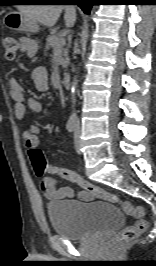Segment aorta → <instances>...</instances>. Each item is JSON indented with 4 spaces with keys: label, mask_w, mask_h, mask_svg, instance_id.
<instances>
[{
    "label": "aorta",
    "mask_w": 156,
    "mask_h": 266,
    "mask_svg": "<svg viewBox=\"0 0 156 266\" xmlns=\"http://www.w3.org/2000/svg\"><path fill=\"white\" fill-rule=\"evenodd\" d=\"M77 86H78V79H77V76H75L72 82V87H71V100H72L73 107L76 102L75 94H76Z\"/></svg>",
    "instance_id": "obj_1"
}]
</instances>
